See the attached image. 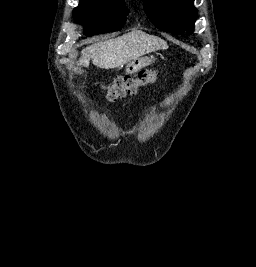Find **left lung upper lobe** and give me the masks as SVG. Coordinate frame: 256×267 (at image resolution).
Masks as SVG:
<instances>
[{"instance_id":"5c2ea615","label":"left lung upper lobe","mask_w":256,"mask_h":267,"mask_svg":"<svg viewBox=\"0 0 256 267\" xmlns=\"http://www.w3.org/2000/svg\"><path fill=\"white\" fill-rule=\"evenodd\" d=\"M194 0H144V11L159 29L173 34L191 33L197 10Z\"/></svg>"}]
</instances>
